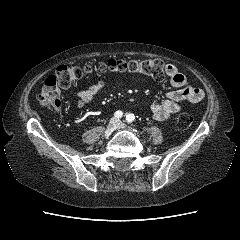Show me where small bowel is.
<instances>
[{"instance_id": "small-bowel-1", "label": "small bowel", "mask_w": 240, "mask_h": 240, "mask_svg": "<svg viewBox=\"0 0 240 240\" xmlns=\"http://www.w3.org/2000/svg\"><path fill=\"white\" fill-rule=\"evenodd\" d=\"M167 76L174 90L167 93V99L153 103L150 107L152 115L157 120H165L182 109V102L198 103L204 97L202 89L187 84V79L174 65H167ZM105 87L104 81H98L85 90L69 88L68 92L78 99V107L89 104Z\"/></svg>"}]
</instances>
